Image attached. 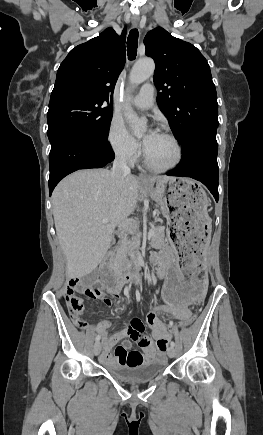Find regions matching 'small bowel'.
Instances as JSON below:
<instances>
[{
  "mask_svg": "<svg viewBox=\"0 0 263 435\" xmlns=\"http://www.w3.org/2000/svg\"><path fill=\"white\" fill-rule=\"evenodd\" d=\"M173 256L174 251L169 247H163L158 253L151 255L150 264L155 267L159 279H168L160 277V265L162 261L173 260ZM103 301L108 306L112 303L110 298H104ZM187 306L188 305H164L154 308L146 314L145 322L152 330L154 340L144 335V323L137 317L132 318L125 328L112 335H109L107 332L110 323L107 320L100 321L96 325V332L102 339L103 351L100 357L101 362L106 365H137L149 360L164 359V355H166L167 350L171 347L169 341L172 338V333L159 319L158 313H169L180 321H189L191 313ZM84 327H86V324ZM129 339L136 341L142 348L143 353L133 350ZM119 342L121 344L118 345L114 353H112V349Z\"/></svg>",
  "mask_w": 263,
  "mask_h": 435,
  "instance_id": "c3829d8e",
  "label": "small bowel"
}]
</instances>
